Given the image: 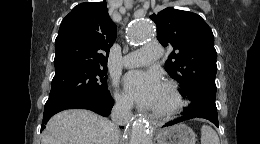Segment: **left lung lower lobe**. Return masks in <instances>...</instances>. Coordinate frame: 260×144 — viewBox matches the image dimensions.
Listing matches in <instances>:
<instances>
[{
    "instance_id": "left-lung-lower-lobe-1",
    "label": "left lung lower lobe",
    "mask_w": 260,
    "mask_h": 144,
    "mask_svg": "<svg viewBox=\"0 0 260 144\" xmlns=\"http://www.w3.org/2000/svg\"><path fill=\"white\" fill-rule=\"evenodd\" d=\"M194 118H204L209 120L210 122L214 123L217 127H219L218 123V116H217V109L216 108H210V107H205L201 108L197 111H186L183 113V116L180 118L170 121L169 123L165 124V126H171L189 119H194Z\"/></svg>"
}]
</instances>
